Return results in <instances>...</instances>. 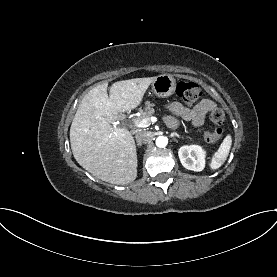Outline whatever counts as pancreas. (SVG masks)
Listing matches in <instances>:
<instances>
[{
  "instance_id": "1",
  "label": "pancreas",
  "mask_w": 277,
  "mask_h": 277,
  "mask_svg": "<svg viewBox=\"0 0 277 277\" xmlns=\"http://www.w3.org/2000/svg\"><path fill=\"white\" fill-rule=\"evenodd\" d=\"M154 104L153 103H150V102H146L145 103V108L144 109H140V112H141V116H139L137 118V120H141V119H144V118H149L150 116H152L154 114Z\"/></svg>"
}]
</instances>
